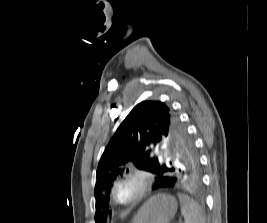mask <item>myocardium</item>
Wrapping results in <instances>:
<instances>
[{"label": "myocardium", "mask_w": 267, "mask_h": 223, "mask_svg": "<svg viewBox=\"0 0 267 223\" xmlns=\"http://www.w3.org/2000/svg\"><path fill=\"white\" fill-rule=\"evenodd\" d=\"M133 181L138 185L137 192L126 200L118 197L117 190L121 184ZM153 183V176L149 171L140 168H130L127 172L121 174L112 184L111 196L113 200L124 206H130L139 202L151 189Z\"/></svg>", "instance_id": "obj_1"}]
</instances>
